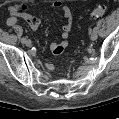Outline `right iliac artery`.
<instances>
[{
  "label": "right iliac artery",
  "mask_w": 119,
  "mask_h": 119,
  "mask_svg": "<svg viewBox=\"0 0 119 119\" xmlns=\"http://www.w3.org/2000/svg\"><path fill=\"white\" fill-rule=\"evenodd\" d=\"M25 40H26V38H25V37H22V38H21V42H22V43H24V42H25Z\"/></svg>",
  "instance_id": "obj_1"
}]
</instances>
